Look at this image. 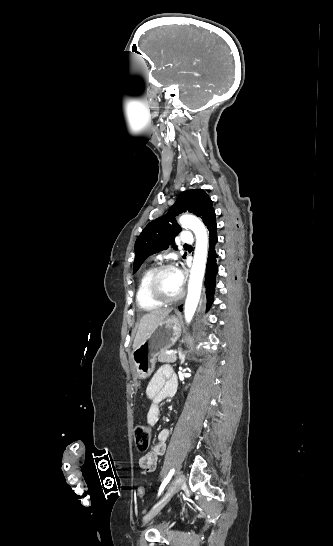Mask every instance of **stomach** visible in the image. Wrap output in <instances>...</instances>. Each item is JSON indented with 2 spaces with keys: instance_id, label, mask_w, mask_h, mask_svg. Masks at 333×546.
Instances as JSON below:
<instances>
[{
  "instance_id": "1",
  "label": "stomach",
  "mask_w": 333,
  "mask_h": 546,
  "mask_svg": "<svg viewBox=\"0 0 333 546\" xmlns=\"http://www.w3.org/2000/svg\"><path fill=\"white\" fill-rule=\"evenodd\" d=\"M179 335V319L171 315L159 323L148 339L133 350V365L139 378L145 379L152 374L158 354L172 347Z\"/></svg>"
}]
</instances>
